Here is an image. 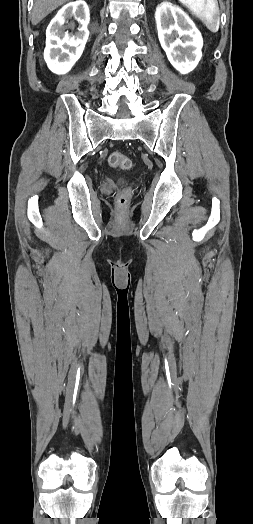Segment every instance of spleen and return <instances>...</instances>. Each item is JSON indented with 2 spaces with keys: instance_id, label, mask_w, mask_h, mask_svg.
<instances>
[{
  "instance_id": "3e777b00",
  "label": "spleen",
  "mask_w": 253,
  "mask_h": 524,
  "mask_svg": "<svg viewBox=\"0 0 253 524\" xmlns=\"http://www.w3.org/2000/svg\"><path fill=\"white\" fill-rule=\"evenodd\" d=\"M213 33L219 30V7L216 0H178Z\"/></svg>"
}]
</instances>
